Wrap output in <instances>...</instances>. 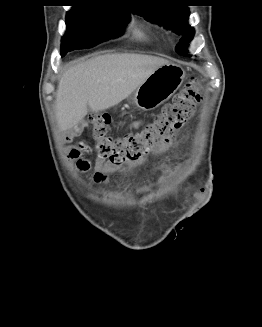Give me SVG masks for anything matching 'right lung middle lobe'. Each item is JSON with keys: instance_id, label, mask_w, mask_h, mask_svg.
<instances>
[{"instance_id": "dd1d6c3e", "label": "right lung middle lobe", "mask_w": 262, "mask_h": 327, "mask_svg": "<svg viewBox=\"0 0 262 327\" xmlns=\"http://www.w3.org/2000/svg\"><path fill=\"white\" fill-rule=\"evenodd\" d=\"M129 12L111 9L73 7L66 15V33L61 56L72 49L88 48L122 34Z\"/></svg>"}]
</instances>
